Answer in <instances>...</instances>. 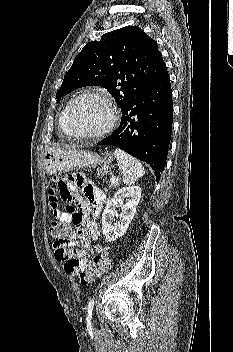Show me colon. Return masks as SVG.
Here are the masks:
<instances>
[{
  "mask_svg": "<svg viewBox=\"0 0 233 352\" xmlns=\"http://www.w3.org/2000/svg\"><path fill=\"white\" fill-rule=\"evenodd\" d=\"M109 163V157L105 156V165L99 170V174L102 175L107 171V164ZM73 210L72 207L68 208ZM49 233L52 237L60 243L62 247L66 246L67 236L69 233V227L59 221H52L49 225ZM111 268V258L109 255L108 248L104 245L97 246V254L87 264V266L80 271L79 279L83 285L91 283L95 278L106 273Z\"/></svg>",
  "mask_w": 233,
  "mask_h": 352,
  "instance_id": "1",
  "label": "colon"
}]
</instances>
